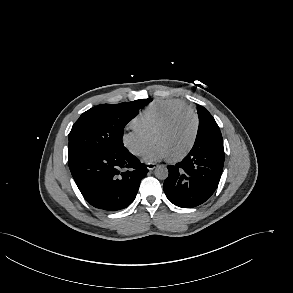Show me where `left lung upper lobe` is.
I'll return each mask as SVG.
<instances>
[{"label":"left lung upper lobe","mask_w":293,"mask_h":293,"mask_svg":"<svg viewBox=\"0 0 293 293\" xmlns=\"http://www.w3.org/2000/svg\"><path fill=\"white\" fill-rule=\"evenodd\" d=\"M199 117V128L197 132L196 140L203 138L216 137L222 140L220 129L212 117V115L203 106L197 108Z\"/></svg>","instance_id":"1"}]
</instances>
